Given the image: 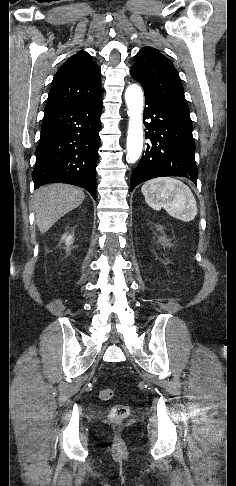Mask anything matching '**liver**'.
Instances as JSON below:
<instances>
[{"mask_svg": "<svg viewBox=\"0 0 236 486\" xmlns=\"http://www.w3.org/2000/svg\"><path fill=\"white\" fill-rule=\"evenodd\" d=\"M84 192L72 185L51 184L34 194V212L41 233H46L61 217L84 201Z\"/></svg>", "mask_w": 236, "mask_h": 486, "instance_id": "obj_1", "label": "liver"}]
</instances>
